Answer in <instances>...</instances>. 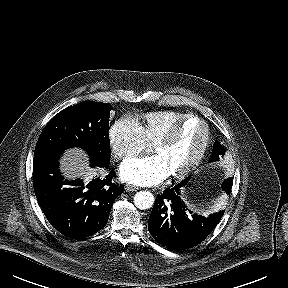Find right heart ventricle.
Wrapping results in <instances>:
<instances>
[{
  "label": "right heart ventricle",
  "mask_w": 288,
  "mask_h": 288,
  "mask_svg": "<svg viewBox=\"0 0 288 288\" xmlns=\"http://www.w3.org/2000/svg\"><path fill=\"white\" fill-rule=\"evenodd\" d=\"M188 115L190 114L177 110L154 111L136 118L135 121L145 142L153 144L171 125Z\"/></svg>",
  "instance_id": "e07e8e85"
}]
</instances>
